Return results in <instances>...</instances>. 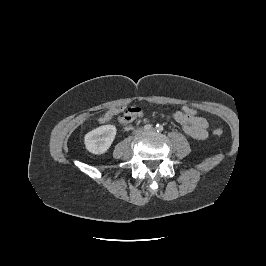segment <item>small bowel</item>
<instances>
[{"instance_id":"obj_1","label":"small bowel","mask_w":266,"mask_h":266,"mask_svg":"<svg viewBox=\"0 0 266 266\" xmlns=\"http://www.w3.org/2000/svg\"><path fill=\"white\" fill-rule=\"evenodd\" d=\"M132 118L128 121L131 122L140 116H142L143 111L140 107H131ZM116 110H110L106 112L101 118L100 122L105 123L111 120ZM173 118L183 125L184 132L191 138L195 140H203L208 136V122L203 117H188L184 115L181 111H176L173 114Z\"/></svg>"}]
</instances>
